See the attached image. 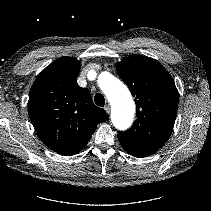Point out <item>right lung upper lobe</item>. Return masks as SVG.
Wrapping results in <instances>:
<instances>
[{
	"instance_id": "cb5924a9",
	"label": "right lung upper lobe",
	"mask_w": 211,
	"mask_h": 211,
	"mask_svg": "<svg viewBox=\"0 0 211 211\" xmlns=\"http://www.w3.org/2000/svg\"><path fill=\"white\" fill-rule=\"evenodd\" d=\"M80 61L63 56L45 68L33 83L28 101L31 122L42 142L72 156L82 150L108 114L77 84Z\"/></svg>"
}]
</instances>
